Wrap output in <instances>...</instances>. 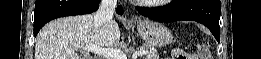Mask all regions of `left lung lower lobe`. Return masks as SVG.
Listing matches in <instances>:
<instances>
[{"label":"left lung lower lobe","instance_id":"left-lung-lower-lobe-1","mask_svg":"<svg viewBox=\"0 0 261 59\" xmlns=\"http://www.w3.org/2000/svg\"><path fill=\"white\" fill-rule=\"evenodd\" d=\"M137 11L150 19L171 22L191 20L204 24L219 42L220 0H173L160 9L137 7Z\"/></svg>","mask_w":261,"mask_h":59}]
</instances>
